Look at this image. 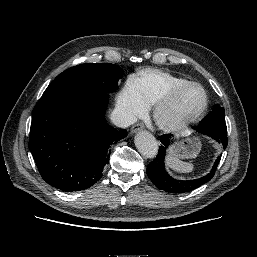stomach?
Masks as SVG:
<instances>
[{
  "mask_svg": "<svg viewBox=\"0 0 257 257\" xmlns=\"http://www.w3.org/2000/svg\"><path fill=\"white\" fill-rule=\"evenodd\" d=\"M201 149L199 138L190 132H182L176 136V141L170 153L177 159H190L198 155Z\"/></svg>",
  "mask_w": 257,
  "mask_h": 257,
  "instance_id": "0dacf381",
  "label": "stomach"
}]
</instances>
